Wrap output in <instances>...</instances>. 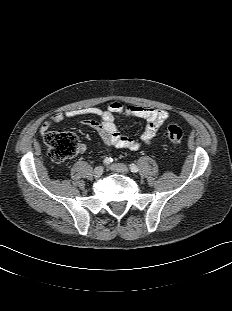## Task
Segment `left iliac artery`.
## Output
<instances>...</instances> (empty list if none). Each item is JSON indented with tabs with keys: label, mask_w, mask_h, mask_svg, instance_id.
Listing matches in <instances>:
<instances>
[{
	"label": "left iliac artery",
	"mask_w": 232,
	"mask_h": 311,
	"mask_svg": "<svg viewBox=\"0 0 232 311\" xmlns=\"http://www.w3.org/2000/svg\"><path fill=\"white\" fill-rule=\"evenodd\" d=\"M130 170L131 172L136 173L139 169L135 164H130Z\"/></svg>",
	"instance_id": "44dca946"
}]
</instances>
